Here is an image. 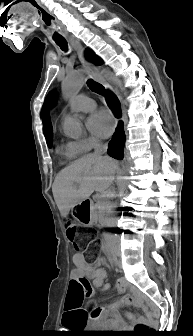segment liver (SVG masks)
<instances>
[{
	"label": "liver",
	"mask_w": 193,
	"mask_h": 336,
	"mask_svg": "<svg viewBox=\"0 0 193 336\" xmlns=\"http://www.w3.org/2000/svg\"><path fill=\"white\" fill-rule=\"evenodd\" d=\"M117 163L110 157L86 154L64 168L56 176L52 192L56 205L63 217L77 203L88 199L94 191L106 194Z\"/></svg>",
	"instance_id": "obj_1"
}]
</instances>
